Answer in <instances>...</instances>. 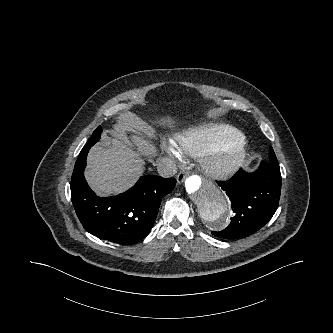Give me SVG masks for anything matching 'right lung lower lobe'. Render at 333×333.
I'll return each instance as SVG.
<instances>
[{
  "instance_id": "right-lung-lower-lobe-1",
  "label": "right lung lower lobe",
  "mask_w": 333,
  "mask_h": 333,
  "mask_svg": "<svg viewBox=\"0 0 333 333\" xmlns=\"http://www.w3.org/2000/svg\"><path fill=\"white\" fill-rule=\"evenodd\" d=\"M81 150L71 179V200L86 231L122 245H132L148 235L155 222L161 199L176 184L174 178L142 176L128 191L114 197H98L85 177L86 157L93 146Z\"/></svg>"
}]
</instances>
